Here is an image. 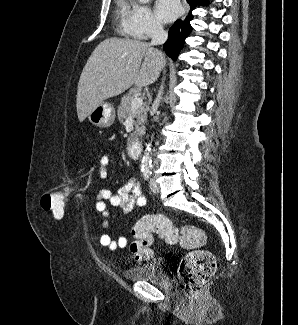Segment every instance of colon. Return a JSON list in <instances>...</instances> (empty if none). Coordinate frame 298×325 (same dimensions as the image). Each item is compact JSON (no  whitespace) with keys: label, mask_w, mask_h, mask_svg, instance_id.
Returning a JSON list of instances; mask_svg holds the SVG:
<instances>
[{"label":"colon","mask_w":298,"mask_h":325,"mask_svg":"<svg viewBox=\"0 0 298 325\" xmlns=\"http://www.w3.org/2000/svg\"><path fill=\"white\" fill-rule=\"evenodd\" d=\"M79 186L51 190L41 198V207L49 211L55 218L63 217L68 197ZM156 233L170 245H180L189 250L183 258L178 278L183 291L188 295H196L211 279L216 270L214 256L203 249L206 243L205 233L198 227L186 225L175 227L163 215H146L140 218L132 228L133 242L130 251L138 261L152 258V234Z\"/></svg>","instance_id":"obj_1"}]
</instances>
